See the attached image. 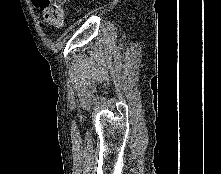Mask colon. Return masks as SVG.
<instances>
[{
  "mask_svg": "<svg viewBox=\"0 0 221 174\" xmlns=\"http://www.w3.org/2000/svg\"><path fill=\"white\" fill-rule=\"evenodd\" d=\"M67 0H34L47 23L60 27L64 24V5Z\"/></svg>",
  "mask_w": 221,
  "mask_h": 174,
  "instance_id": "obj_1",
  "label": "colon"
}]
</instances>
